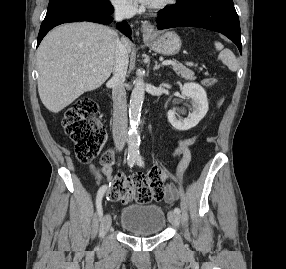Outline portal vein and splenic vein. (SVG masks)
<instances>
[{
  "label": "portal vein and splenic vein",
  "mask_w": 286,
  "mask_h": 269,
  "mask_svg": "<svg viewBox=\"0 0 286 269\" xmlns=\"http://www.w3.org/2000/svg\"><path fill=\"white\" fill-rule=\"evenodd\" d=\"M163 65H173V64H176V62L174 61H170V60H165L162 62Z\"/></svg>",
  "instance_id": "obj_1"
}]
</instances>
